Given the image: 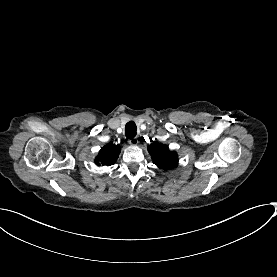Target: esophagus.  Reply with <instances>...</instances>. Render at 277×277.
<instances>
[{"instance_id": "esophagus-1", "label": "esophagus", "mask_w": 277, "mask_h": 277, "mask_svg": "<svg viewBox=\"0 0 277 277\" xmlns=\"http://www.w3.org/2000/svg\"><path fill=\"white\" fill-rule=\"evenodd\" d=\"M138 139L137 138H132L128 140V143L132 146H136L138 144Z\"/></svg>"}]
</instances>
